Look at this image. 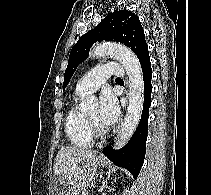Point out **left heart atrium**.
Here are the masks:
<instances>
[{
    "mask_svg": "<svg viewBox=\"0 0 211 195\" xmlns=\"http://www.w3.org/2000/svg\"><path fill=\"white\" fill-rule=\"evenodd\" d=\"M101 105L98 114V121L101 126L107 127L113 125L119 116L120 108L114 94L106 91L101 95Z\"/></svg>",
    "mask_w": 211,
    "mask_h": 195,
    "instance_id": "obj_1",
    "label": "left heart atrium"
}]
</instances>
